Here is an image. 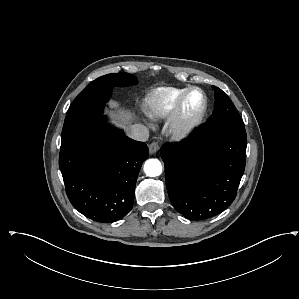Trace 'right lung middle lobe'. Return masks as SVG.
I'll list each match as a JSON object with an SVG mask.
<instances>
[{
  "label": "right lung middle lobe",
  "instance_id": "right-lung-middle-lobe-1",
  "mask_svg": "<svg viewBox=\"0 0 299 299\" xmlns=\"http://www.w3.org/2000/svg\"><path fill=\"white\" fill-rule=\"evenodd\" d=\"M136 78L125 72L108 74L92 81L71 104L63 126L61 144L66 143L75 133L101 116L114 86H129Z\"/></svg>",
  "mask_w": 299,
  "mask_h": 299
}]
</instances>
